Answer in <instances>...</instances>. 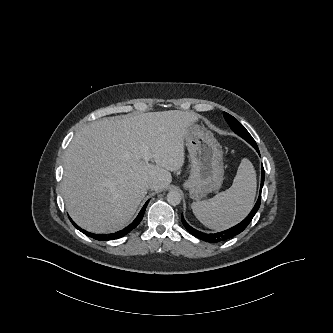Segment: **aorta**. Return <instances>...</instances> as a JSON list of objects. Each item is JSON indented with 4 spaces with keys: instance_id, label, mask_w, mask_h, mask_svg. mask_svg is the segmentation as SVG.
<instances>
[{
    "instance_id": "1",
    "label": "aorta",
    "mask_w": 333,
    "mask_h": 333,
    "mask_svg": "<svg viewBox=\"0 0 333 333\" xmlns=\"http://www.w3.org/2000/svg\"><path fill=\"white\" fill-rule=\"evenodd\" d=\"M167 201L171 205H178L181 202V195L177 191H170L167 194Z\"/></svg>"
}]
</instances>
